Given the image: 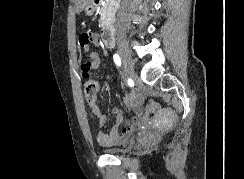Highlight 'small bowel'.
Segmentation results:
<instances>
[{
    "label": "small bowel",
    "instance_id": "1",
    "mask_svg": "<svg viewBox=\"0 0 244 179\" xmlns=\"http://www.w3.org/2000/svg\"><path fill=\"white\" fill-rule=\"evenodd\" d=\"M101 45V38L98 33L84 32L79 37V47L87 55L88 59L81 65L82 73L88 76L90 73L98 71L101 67V58L99 54L92 49V47H99ZM125 104L134 112V118L128 125L121 129V124L124 122L123 115L118 110H114L115 120L106 131L98 132L96 140L99 145L104 147H114L125 142L127 136L140 125L142 107L141 103L136 97H127ZM91 114L97 118L100 126L105 125L106 119L101 114L97 106L90 108Z\"/></svg>",
    "mask_w": 244,
    "mask_h": 179
}]
</instances>
